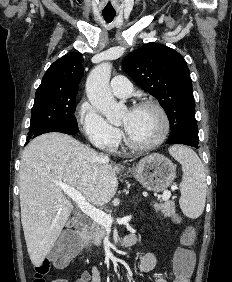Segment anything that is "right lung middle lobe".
<instances>
[{"instance_id": "obj_1", "label": "right lung middle lobe", "mask_w": 232, "mask_h": 282, "mask_svg": "<svg viewBox=\"0 0 232 282\" xmlns=\"http://www.w3.org/2000/svg\"><path fill=\"white\" fill-rule=\"evenodd\" d=\"M75 110L76 94L36 93L27 138L31 139L55 126L78 131Z\"/></svg>"}]
</instances>
